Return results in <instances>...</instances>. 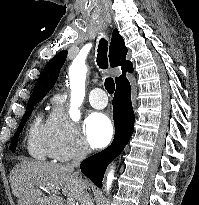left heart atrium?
Returning <instances> with one entry per match:
<instances>
[{
    "label": "left heart atrium",
    "mask_w": 199,
    "mask_h": 205,
    "mask_svg": "<svg viewBox=\"0 0 199 205\" xmlns=\"http://www.w3.org/2000/svg\"><path fill=\"white\" fill-rule=\"evenodd\" d=\"M87 141L92 147L106 146L113 135V126L110 119L103 113H91L84 125Z\"/></svg>",
    "instance_id": "39dd6f15"
}]
</instances>
